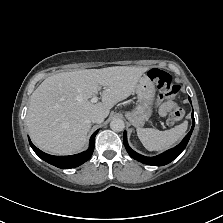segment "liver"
Masks as SVG:
<instances>
[{
    "label": "liver",
    "mask_w": 223,
    "mask_h": 223,
    "mask_svg": "<svg viewBox=\"0 0 223 223\" xmlns=\"http://www.w3.org/2000/svg\"><path fill=\"white\" fill-rule=\"evenodd\" d=\"M148 67L115 66L64 72L46 78L31 95L25 118L33 143L41 150L58 155L80 151L91 128L90 114L104 117L115 103L134 90ZM101 102L90 103L99 95Z\"/></svg>",
    "instance_id": "liver-1"
}]
</instances>
